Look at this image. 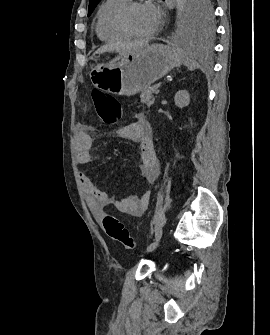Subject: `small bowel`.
Listing matches in <instances>:
<instances>
[{
  "mask_svg": "<svg viewBox=\"0 0 270 335\" xmlns=\"http://www.w3.org/2000/svg\"><path fill=\"white\" fill-rule=\"evenodd\" d=\"M92 131V126L82 123L77 124L75 128L78 145L77 159L82 165L92 162L91 148L94 142ZM119 135L121 138L132 141L139 146L140 161L136 167L137 173L148 182H154L158 175V165L152 144V128L149 122L144 119L129 122L120 128ZM79 178L87 195L88 207L97 219L101 218L103 209L109 205H114L120 213L133 217L141 216L149 206V192L141 196L131 195L115 201L85 173L80 172Z\"/></svg>",
  "mask_w": 270,
  "mask_h": 335,
  "instance_id": "c3829d8e",
  "label": "small bowel"
}]
</instances>
